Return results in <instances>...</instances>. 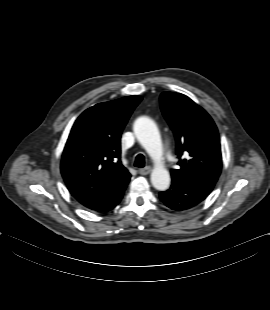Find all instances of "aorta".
<instances>
[{"mask_svg":"<svg viewBox=\"0 0 270 310\" xmlns=\"http://www.w3.org/2000/svg\"><path fill=\"white\" fill-rule=\"evenodd\" d=\"M134 133L149 155L158 160L162 155V142L155 122L148 117H139L133 125ZM151 183L159 191H165L170 186V174L161 165H156L151 173Z\"/></svg>","mask_w":270,"mask_h":310,"instance_id":"1","label":"aorta"}]
</instances>
